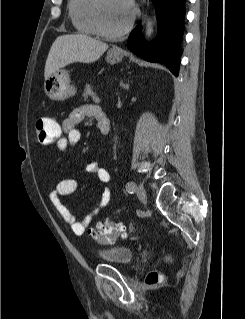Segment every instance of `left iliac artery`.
<instances>
[{
  "label": "left iliac artery",
  "instance_id": "obj_1",
  "mask_svg": "<svg viewBox=\"0 0 245 319\" xmlns=\"http://www.w3.org/2000/svg\"><path fill=\"white\" fill-rule=\"evenodd\" d=\"M135 187H136V185H135V183L132 182V181H130V182H128V183L126 184V190H127L128 193H130V194L134 193Z\"/></svg>",
  "mask_w": 245,
  "mask_h": 319
}]
</instances>
